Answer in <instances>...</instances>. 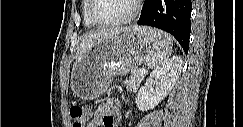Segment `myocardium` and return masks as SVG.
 Instances as JSON below:
<instances>
[{
	"label": "myocardium",
	"instance_id": "myocardium-1",
	"mask_svg": "<svg viewBox=\"0 0 243 127\" xmlns=\"http://www.w3.org/2000/svg\"><path fill=\"white\" fill-rule=\"evenodd\" d=\"M132 1H133V10L131 11V13L129 15H127L121 19L115 20V21L105 22V21H101L96 18L95 14H94V7H95L96 0H90L88 16L94 25L100 26V27H114V26H120V25L126 24L128 22H131L133 19H135L141 9V2H142L141 0H132Z\"/></svg>",
	"mask_w": 243,
	"mask_h": 127
}]
</instances>
